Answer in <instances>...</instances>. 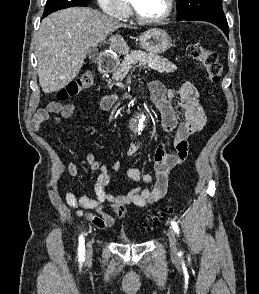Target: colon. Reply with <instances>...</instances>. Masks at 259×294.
I'll return each mask as SVG.
<instances>
[{
  "label": "colon",
  "instance_id": "5ec220e1",
  "mask_svg": "<svg viewBox=\"0 0 259 294\" xmlns=\"http://www.w3.org/2000/svg\"><path fill=\"white\" fill-rule=\"evenodd\" d=\"M187 53L193 59L200 61L206 72V78L212 84H218L222 75V64L219 60L217 53L213 50L204 48L200 44H190L187 47ZM94 76L90 71H85L73 80L63 91L58 95L59 99L65 100L70 97L77 96L84 90L93 85ZM171 211L170 207L158 210L147 219V227L158 225Z\"/></svg>",
  "mask_w": 259,
  "mask_h": 294
}]
</instances>
